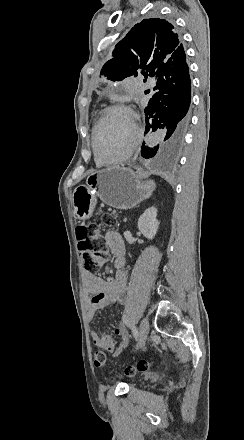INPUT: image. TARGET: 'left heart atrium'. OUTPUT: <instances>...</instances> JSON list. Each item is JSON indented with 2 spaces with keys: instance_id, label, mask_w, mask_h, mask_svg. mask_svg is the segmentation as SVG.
<instances>
[{
  "instance_id": "left-heart-atrium-1",
  "label": "left heart atrium",
  "mask_w": 244,
  "mask_h": 440,
  "mask_svg": "<svg viewBox=\"0 0 244 440\" xmlns=\"http://www.w3.org/2000/svg\"><path fill=\"white\" fill-rule=\"evenodd\" d=\"M137 134H138V128L136 127V132H135L134 136H136Z\"/></svg>"
}]
</instances>
